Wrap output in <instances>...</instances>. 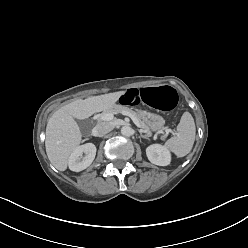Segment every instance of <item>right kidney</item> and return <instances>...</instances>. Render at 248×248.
<instances>
[{
    "mask_svg": "<svg viewBox=\"0 0 248 248\" xmlns=\"http://www.w3.org/2000/svg\"><path fill=\"white\" fill-rule=\"evenodd\" d=\"M83 154H85L83 156ZM96 155V146L86 143L78 146L70 155L68 165L71 171L80 172L91 165Z\"/></svg>",
    "mask_w": 248,
    "mask_h": 248,
    "instance_id": "obj_1",
    "label": "right kidney"
}]
</instances>
